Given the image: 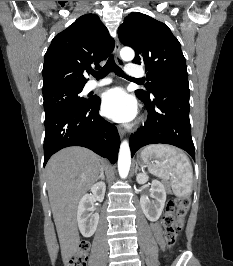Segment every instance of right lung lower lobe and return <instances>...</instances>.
Returning <instances> with one entry per match:
<instances>
[{"instance_id": "98d812e1", "label": "right lung lower lobe", "mask_w": 233, "mask_h": 266, "mask_svg": "<svg viewBox=\"0 0 233 266\" xmlns=\"http://www.w3.org/2000/svg\"><path fill=\"white\" fill-rule=\"evenodd\" d=\"M100 98L82 107L66 108L45 117L44 167L55 152L83 146L115 163L120 146L117 128L99 116Z\"/></svg>"}]
</instances>
